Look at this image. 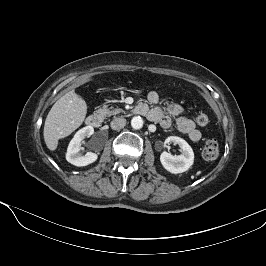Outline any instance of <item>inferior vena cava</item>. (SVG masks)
<instances>
[{
	"label": "inferior vena cava",
	"mask_w": 266,
	"mask_h": 266,
	"mask_svg": "<svg viewBox=\"0 0 266 266\" xmlns=\"http://www.w3.org/2000/svg\"><path fill=\"white\" fill-rule=\"evenodd\" d=\"M125 125H126V119L123 117H115L111 121V128L113 130H120V129L124 128Z\"/></svg>",
	"instance_id": "1"
}]
</instances>
